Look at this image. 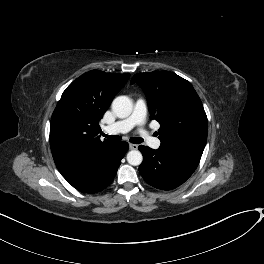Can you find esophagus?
Returning a JSON list of instances; mask_svg holds the SVG:
<instances>
[{
    "label": "esophagus",
    "instance_id": "1",
    "mask_svg": "<svg viewBox=\"0 0 264 264\" xmlns=\"http://www.w3.org/2000/svg\"><path fill=\"white\" fill-rule=\"evenodd\" d=\"M129 148L131 150H136L138 148V145H136V144H129Z\"/></svg>",
    "mask_w": 264,
    "mask_h": 264
}]
</instances>
